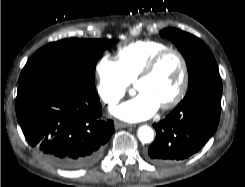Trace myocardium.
<instances>
[{"label": "myocardium", "instance_id": "1", "mask_svg": "<svg viewBox=\"0 0 245 187\" xmlns=\"http://www.w3.org/2000/svg\"><path fill=\"white\" fill-rule=\"evenodd\" d=\"M168 54H174L177 56V58L180 61L181 68H182V76H181V83L177 90V92L174 94L171 99H169L166 103L160 106L161 109L167 110L171 109L175 106H177L184 96L187 93L188 86H189V68L188 63L186 61V58L182 54V52L176 48L167 47L157 53H155L144 65V67L141 69L140 73L138 74L135 84L140 82L141 80L148 78L154 70L156 69L159 62Z\"/></svg>", "mask_w": 245, "mask_h": 187}]
</instances>
